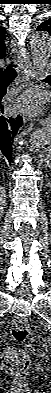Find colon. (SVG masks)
<instances>
[{"label":"colon","mask_w":51,"mask_h":393,"mask_svg":"<svg viewBox=\"0 0 51 393\" xmlns=\"http://www.w3.org/2000/svg\"><path fill=\"white\" fill-rule=\"evenodd\" d=\"M12 337L16 342H23L29 334V323L25 318H16L11 327ZM29 350L34 356H43L47 351V344L42 337H33L29 341ZM4 365L13 372H22L30 364L28 354L21 348H9L3 356Z\"/></svg>","instance_id":"1"}]
</instances>
